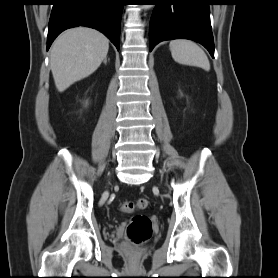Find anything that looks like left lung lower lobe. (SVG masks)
Returning <instances> with one entry per match:
<instances>
[{
    "label": "left lung lower lobe",
    "mask_w": 278,
    "mask_h": 278,
    "mask_svg": "<svg viewBox=\"0 0 278 278\" xmlns=\"http://www.w3.org/2000/svg\"><path fill=\"white\" fill-rule=\"evenodd\" d=\"M155 8L150 21V51L164 40L186 38L202 44L214 57L210 24L211 0H150Z\"/></svg>",
    "instance_id": "obj_1"
}]
</instances>
